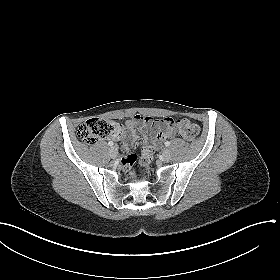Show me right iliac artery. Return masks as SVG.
<instances>
[{
    "label": "right iliac artery",
    "instance_id": "right-iliac-artery-1",
    "mask_svg": "<svg viewBox=\"0 0 280 280\" xmlns=\"http://www.w3.org/2000/svg\"><path fill=\"white\" fill-rule=\"evenodd\" d=\"M108 145H109V146H113L114 143H113L112 141H109V142H108Z\"/></svg>",
    "mask_w": 280,
    "mask_h": 280
}]
</instances>
